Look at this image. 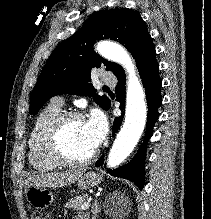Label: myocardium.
Returning a JSON list of instances; mask_svg holds the SVG:
<instances>
[{
    "label": "myocardium",
    "mask_w": 211,
    "mask_h": 219,
    "mask_svg": "<svg viewBox=\"0 0 211 219\" xmlns=\"http://www.w3.org/2000/svg\"><path fill=\"white\" fill-rule=\"evenodd\" d=\"M75 120H83L82 114L75 111H62L56 115L44 128L41 136L43 152L54 162L65 166H86L97 157L94 151L83 159H75L67 155L61 146V135L65 126Z\"/></svg>",
    "instance_id": "obj_1"
}]
</instances>
